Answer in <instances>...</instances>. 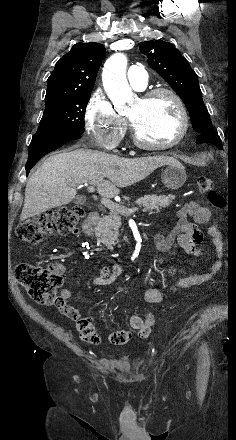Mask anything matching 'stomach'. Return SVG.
<instances>
[{"mask_svg":"<svg viewBox=\"0 0 236 440\" xmlns=\"http://www.w3.org/2000/svg\"><path fill=\"white\" fill-rule=\"evenodd\" d=\"M186 178V171L178 161L174 160L166 164L162 175V182L165 187L176 190L183 186Z\"/></svg>","mask_w":236,"mask_h":440,"instance_id":"1","label":"stomach"}]
</instances>
